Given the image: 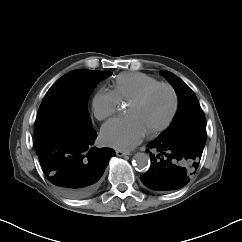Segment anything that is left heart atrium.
Returning <instances> with one entry per match:
<instances>
[{"label": "left heart atrium", "instance_id": "left-heart-atrium-1", "mask_svg": "<svg viewBox=\"0 0 242 242\" xmlns=\"http://www.w3.org/2000/svg\"><path fill=\"white\" fill-rule=\"evenodd\" d=\"M146 133L134 116L126 115L105 123L101 129V140L110 147L129 150L137 146Z\"/></svg>", "mask_w": 242, "mask_h": 242}]
</instances>
